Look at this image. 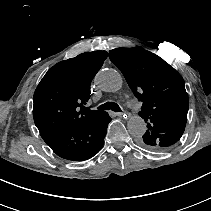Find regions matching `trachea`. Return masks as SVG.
<instances>
[{"instance_id": "trachea-1", "label": "trachea", "mask_w": 211, "mask_h": 211, "mask_svg": "<svg viewBox=\"0 0 211 211\" xmlns=\"http://www.w3.org/2000/svg\"><path fill=\"white\" fill-rule=\"evenodd\" d=\"M98 109H101V110H112V111H115V112H121L122 111L117 103L110 102V101L100 105L98 107Z\"/></svg>"}]
</instances>
